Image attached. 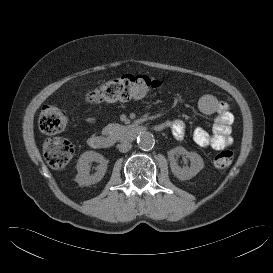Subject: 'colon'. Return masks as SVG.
<instances>
[{
	"label": "colon",
	"mask_w": 273,
	"mask_h": 273,
	"mask_svg": "<svg viewBox=\"0 0 273 273\" xmlns=\"http://www.w3.org/2000/svg\"><path fill=\"white\" fill-rule=\"evenodd\" d=\"M161 86L158 80L141 75H127L107 80L88 92L87 100L93 104L127 101L142 97ZM68 115L56 105L45 106L39 117V127L45 134H56L65 129ZM43 153L50 167L63 168L72 159L74 148L66 139L54 137L43 144ZM234 159L229 149L219 152L214 159L217 168L229 167Z\"/></svg>",
	"instance_id": "1"
}]
</instances>
